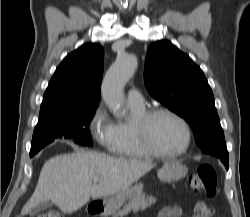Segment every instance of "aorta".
<instances>
[{
  "label": "aorta",
  "mask_w": 250,
  "mask_h": 217,
  "mask_svg": "<svg viewBox=\"0 0 250 217\" xmlns=\"http://www.w3.org/2000/svg\"><path fill=\"white\" fill-rule=\"evenodd\" d=\"M137 68L134 55L120 54L107 71L101 87V94L109 110L121 117V107L124 103V86L133 76Z\"/></svg>",
  "instance_id": "obj_1"
}]
</instances>
